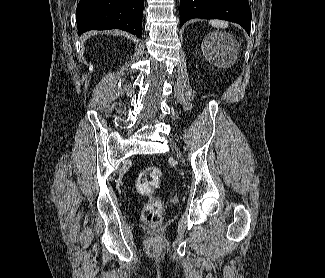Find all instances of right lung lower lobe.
I'll use <instances>...</instances> for the list:
<instances>
[{
  "instance_id": "98d812e1",
  "label": "right lung lower lobe",
  "mask_w": 325,
  "mask_h": 278,
  "mask_svg": "<svg viewBox=\"0 0 325 278\" xmlns=\"http://www.w3.org/2000/svg\"><path fill=\"white\" fill-rule=\"evenodd\" d=\"M143 7L144 0H80L78 33L116 28L140 37Z\"/></svg>"
}]
</instances>
